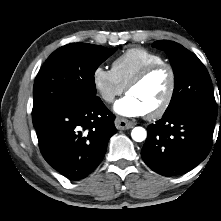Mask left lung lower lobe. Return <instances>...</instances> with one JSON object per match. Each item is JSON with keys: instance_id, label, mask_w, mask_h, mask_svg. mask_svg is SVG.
<instances>
[{"instance_id": "0a47b994", "label": "left lung lower lobe", "mask_w": 221, "mask_h": 221, "mask_svg": "<svg viewBox=\"0 0 221 221\" xmlns=\"http://www.w3.org/2000/svg\"><path fill=\"white\" fill-rule=\"evenodd\" d=\"M216 115L198 107H184L164 114L147 129L141 156L153 171L163 176L184 174L209 154Z\"/></svg>"}]
</instances>
